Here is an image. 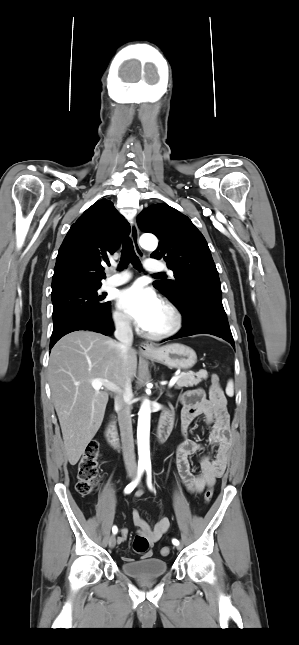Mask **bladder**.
I'll list each match as a JSON object with an SVG mask.
<instances>
[{
	"instance_id": "1",
	"label": "bladder",
	"mask_w": 299,
	"mask_h": 645,
	"mask_svg": "<svg viewBox=\"0 0 299 645\" xmlns=\"http://www.w3.org/2000/svg\"><path fill=\"white\" fill-rule=\"evenodd\" d=\"M120 569L125 575L132 578H153L166 574L168 563L164 559L150 557L142 560L125 561L121 564Z\"/></svg>"
}]
</instances>
